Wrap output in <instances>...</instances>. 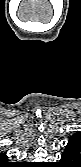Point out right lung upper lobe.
<instances>
[{
  "mask_svg": "<svg viewBox=\"0 0 81 167\" xmlns=\"http://www.w3.org/2000/svg\"><path fill=\"white\" fill-rule=\"evenodd\" d=\"M7 160H8V158H7V156L5 155V154H2L1 155V161L5 164V165H7L9 162H7Z\"/></svg>",
  "mask_w": 81,
  "mask_h": 167,
  "instance_id": "cb5924a9",
  "label": "right lung upper lobe"
}]
</instances>
